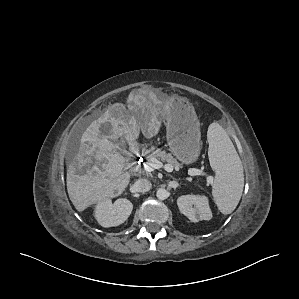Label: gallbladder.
Returning <instances> with one entry per match:
<instances>
[{
    "label": "gallbladder",
    "instance_id": "bac80fb5",
    "mask_svg": "<svg viewBox=\"0 0 299 299\" xmlns=\"http://www.w3.org/2000/svg\"><path fill=\"white\" fill-rule=\"evenodd\" d=\"M100 131L105 136L111 135L112 134V126H111V124L110 123H105V124L101 125ZM117 147H118V149L120 151H122V150L124 151V145L122 143H118Z\"/></svg>",
    "mask_w": 299,
    "mask_h": 299
}]
</instances>
